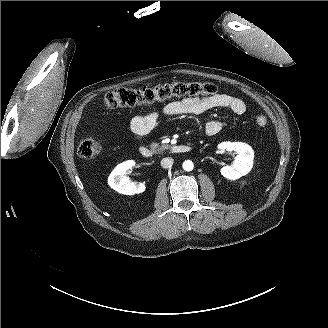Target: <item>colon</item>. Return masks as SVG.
<instances>
[{"label":"colon","mask_w":328,"mask_h":328,"mask_svg":"<svg viewBox=\"0 0 328 328\" xmlns=\"http://www.w3.org/2000/svg\"><path fill=\"white\" fill-rule=\"evenodd\" d=\"M216 93L217 87L208 82H177L143 89L117 88L107 93L105 105L110 109L133 107L163 102L171 97L214 96ZM255 121L260 127H266L268 124L267 118L263 115L256 116ZM101 149V145L89 137L83 138L78 144L79 155L86 159L97 157Z\"/></svg>","instance_id":"obj_1"}]
</instances>
